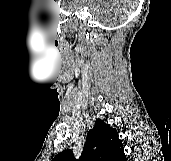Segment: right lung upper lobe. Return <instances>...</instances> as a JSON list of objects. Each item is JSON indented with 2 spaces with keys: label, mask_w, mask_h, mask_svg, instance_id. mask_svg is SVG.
I'll list each match as a JSON object with an SVG mask.
<instances>
[{
  "label": "right lung upper lobe",
  "mask_w": 171,
  "mask_h": 161,
  "mask_svg": "<svg viewBox=\"0 0 171 161\" xmlns=\"http://www.w3.org/2000/svg\"><path fill=\"white\" fill-rule=\"evenodd\" d=\"M52 161H127L118 132L102 120L97 119L95 126L88 131L86 142L79 160L71 150H65Z\"/></svg>",
  "instance_id": "cb5924a9"
}]
</instances>
